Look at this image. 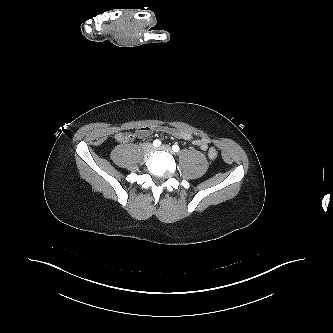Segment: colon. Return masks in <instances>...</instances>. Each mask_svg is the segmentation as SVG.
Masks as SVG:
<instances>
[{
	"label": "colon",
	"instance_id": "colon-1",
	"mask_svg": "<svg viewBox=\"0 0 333 333\" xmlns=\"http://www.w3.org/2000/svg\"><path fill=\"white\" fill-rule=\"evenodd\" d=\"M115 138L118 142L124 143L132 140L133 136L128 132H120L116 134ZM207 155L210 160H215L218 156V151L211 147L208 149Z\"/></svg>",
	"mask_w": 333,
	"mask_h": 333
}]
</instances>
